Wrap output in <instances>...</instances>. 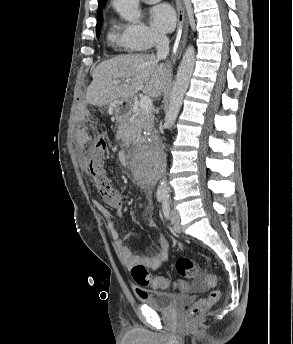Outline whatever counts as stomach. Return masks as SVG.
<instances>
[{
    "mask_svg": "<svg viewBox=\"0 0 293 344\" xmlns=\"http://www.w3.org/2000/svg\"><path fill=\"white\" fill-rule=\"evenodd\" d=\"M123 105V101H114L112 103H110L109 105V109L113 112V113H117L120 111L121 106Z\"/></svg>",
    "mask_w": 293,
    "mask_h": 344,
    "instance_id": "0dacf381",
    "label": "stomach"
}]
</instances>
